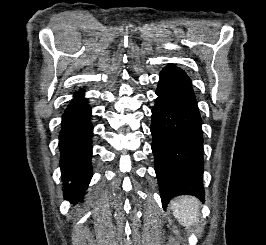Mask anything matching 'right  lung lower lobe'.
<instances>
[{
    "label": "right lung lower lobe",
    "instance_id": "obj_1",
    "mask_svg": "<svg viewBox=\"0 0 266 245\" xmlns=\"http://www.w3.org/2000/svg\"><path fill=\"white\" fill-rule=\"evenodd\" d=\"M91 107L83 97V91L75 93L62 115L59 148L64 198L79 202L92 177L91 139L93 126Z\"/></svg>",
    "mask_w": 266,
    "mask_h": 245
}]
</instances>
